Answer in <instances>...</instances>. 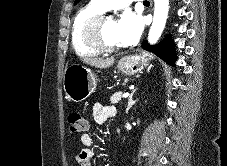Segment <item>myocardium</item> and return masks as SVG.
Segmentation results:
<instances>
[{
  "instance_id": "obj_1",
  "label": "myocardium",
  "mask_w": 227,
  "mask_h": 166,
  "mask_svg": "<svg viewBox=\"0 0 227 166\" xmlns=\"http://www.w3.org/2000/svg\"><path fill=\"white\" fill-rule=\"evenodd\" d=\"M112 16L103 12L92 16L83 26L82 36L84 41L93 49L100 53H111L119 50L121 46H108L101 39V28L106 19Z\"/></svg>"
}]
</instances>
